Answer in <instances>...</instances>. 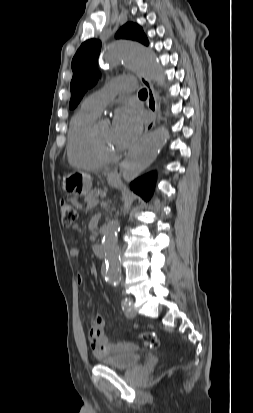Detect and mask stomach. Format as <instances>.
<instances>
[{"label":"stomach","instance_id":"0dacf381","mask_svg":"<svg viewBox=\"0 0 253 413\" xmlns=\"http://www.w3.org/2000/svg\"><path fill=\"white\" fill-rule=\"evenodd\" d=\"M111 186H117V182L110 181ZM91 176L84 172H72L63 177L62 189L67 195L76 197L85 196L91 191Z\"/></svg>","mask_w":253,"mask_h":413}]
</instances>
